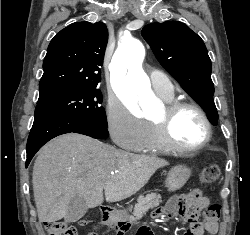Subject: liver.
Listing matches in <instances>:
<instances>
[{"label": "liver", "mask_w": 250, "mask_h": 235, "mask_svg": "<svg viewBox=\"0 0 250 235\" xmlns=\"http://www.w3.org/2000/svg\"><path fill=\"white\" fill-rule=\"evenodd\" d=\"M168 162L155 156L118 150L91 137L68 133L46 144L35 160L32 174L34 200L40 222L65 217L76 196L88 208L104 201L131 197Z\"/></svg>", "instance_id": "liver-1"}]
</instances>
